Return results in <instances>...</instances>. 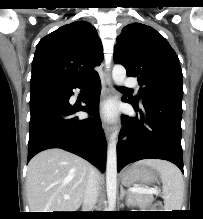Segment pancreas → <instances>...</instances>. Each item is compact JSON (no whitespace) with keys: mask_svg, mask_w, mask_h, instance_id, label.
<instances>
[{"mask_svg":"<svg viewBox=\"0 0 203 219\" xmlns=\"http://www.w3.org/2000/svg\"><path fill=\"white\" fill-rule=\"evenodd\" d=\"M129 196L143 204L152 203L154 201L152 194L129 193Z\"/></svg>","mask_w":203,"mask_h":219,"instance_id":"1","label":"pancreas"}]
</instances>
